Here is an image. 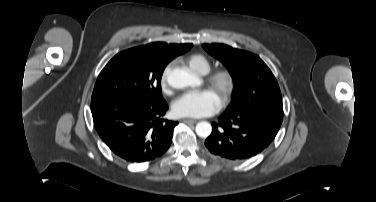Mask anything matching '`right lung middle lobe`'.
<instances>
[{"mask_svg":"<svg viewBox=\"0 0 376 202\" xmlns=\"http://www.w3.org/2000/svg\"><path fill=\"white\" fill-rule=\"evenodd\" d=\"M166 65L152 66L138 48L120 52L98 76L91 102L110 96L162 99L161 77Z\"/></svg>","mask_w":376,"mask_h":202,"instance_id":"1","label":"right lung middle lobe"}]
</instances>
